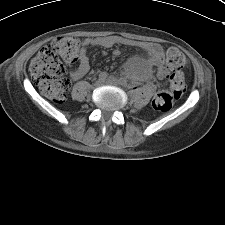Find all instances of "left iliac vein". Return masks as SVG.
<instances>
[{"label": "left iliac vein", "mask_w": 225, "mask_h": 225, "mask_svg": "<svg viewBox=\"0 0 225 225\" xmlns=\"http://www.w3.org/2000/svg\"><path fill=\"white\" fill-rule=\"evenodd\" d=\"M106 83L111 84V85H115V86H119V85H120L119 80L116 79V78H113V77H109V78L106 80Z\"/></svg>", "instance_id": "4c4485c4"}]
</instances>
